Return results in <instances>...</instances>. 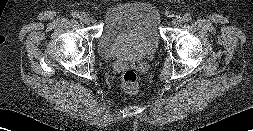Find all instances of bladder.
Here are the masks:
<instances>
[{
	"label": "bladder",
	"instance_id": "bladder-1",
	"mask_svg": "<svg viewBox=\"0 0 253 131\" xmlns=\"http://www.w3.org/2000/svg\"><path fill=\"white\" fill-rule=\"evenodd\" d=\"M161 14L148 0H118L106 16L98 40V51L113 56L119 51L146 56L161 45Z\"/></svg>",
	"mask_w": 253,
	"mask_h": 131
}]
</instances>
